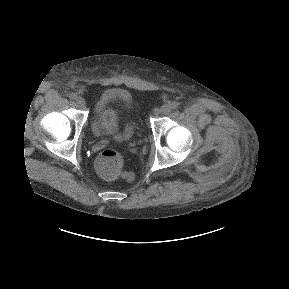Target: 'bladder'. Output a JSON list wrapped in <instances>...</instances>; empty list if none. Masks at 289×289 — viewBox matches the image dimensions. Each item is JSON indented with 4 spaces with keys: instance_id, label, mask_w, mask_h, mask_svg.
<instances>
[{
    "instance_id": "bladder-1",
    "label": "bladder",
    "mask_w": 289,
    "mask_h": 289,
    "mask_svg": "<svg viewBox=\"0 0 289 289\" xmlns=\"http://www.w3.org/2000/svg\"><path fill=\"white\" fill-rule=\"evenodd\" d=\"M131 104L130 97L123 92L108 90L99 98L93 119L92 129L97 136H109L117 128L123 108Z\"/></svg>"
}]
</instances>
